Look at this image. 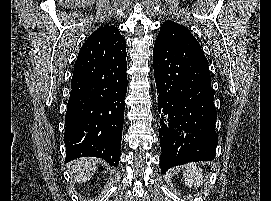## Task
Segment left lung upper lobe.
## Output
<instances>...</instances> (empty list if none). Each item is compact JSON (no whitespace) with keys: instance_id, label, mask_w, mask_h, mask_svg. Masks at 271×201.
Listing matches in <instances>:
<instances>
[{"instance_id":"1","label":"left lung upper lobe","mask_w":271,"mask_h":201,"mask_svg":"<svg viewBox=\"0 0 271 201\" xmlns=\"http://www.w3.org/2000/svg\"><path fill=\"white\" fill-rule=\"evenodd\" d=\"M184 26L173 22V21H166L165 23H163L161 25L160 28V32L157 36L156 41H166L167 39L172 38L173 36L176 35V33L178 32V30H180L181 28H183Z\"/></svg>"}]
</instances>
